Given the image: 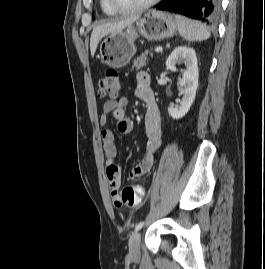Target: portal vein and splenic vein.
Returning <instances> with one entry per match:
<instances>
[{
    "label": "portal vein and splenic vein",
    "mask_w": 265,
    "mask_h": 269,
    "mask_svg": "<svg viewBox=\"0 0 265 269\" xmlns=\"http://www.w3.org/2000/svg\"><path fill=\"white\" fill-rule=\"evenodd\" d=\"M163 51V48L162 47H156L155 48V52H162Z\"/></svg>",
    "instance_id": "1"
}]
</instances>
